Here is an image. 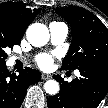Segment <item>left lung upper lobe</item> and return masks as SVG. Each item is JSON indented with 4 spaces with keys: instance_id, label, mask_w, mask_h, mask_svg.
<instances>
[{
    "instance_id": "5c2ea615",
    "label": "left lung upper lobe",
    "mask_w": 108,
    "mask_h": 108,
    "mask_svg": "<svg viewBox=\"0 0 108 108\" xmlns=\"http://www.w3.org/2000/svg\"><path fill=\"white\" fill-rule=\"evenodd\" d=\"M71 24L72 42L62 69L98 68L108 64V29L95 15L80 7L55 10Z\"/></svg>"
}]
</instances>
